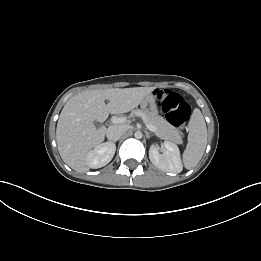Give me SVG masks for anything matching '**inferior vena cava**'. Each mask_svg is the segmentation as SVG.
I'll list each match as a JSON object with an SVG mask.
<instances>
[{
  "mask_svg": "<svg viewBox=\"0 0 261 261\" xmlns=\"http://www.w3.org/2000/svg\"><path fill=\"white\" fill-rule=\"evenodd\" d=\"M127 131V127L124 125H112L106 130V136L108 140L115 142Z\"/></svg>",
  "mask_w": 261,
  "mask_h": 261,
  "instance_id": "inferior-vena-cava-1",
  "label": "inferior vena cava"
}]
</instances>
